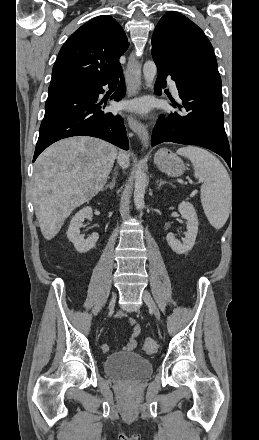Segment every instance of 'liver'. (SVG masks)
Listing matches in <instances>:
<instances>
[{
    "mask_svg": "<svg viewBox=\"0 0 259 440\" xmlns=\"http://www.w3.org/2000/svg\"><path fill=\"white\" fill-rule=\"evenodd\" d=\"M129 166V155L98 138L62 139L37 158L33 203L42 235L53 239L74 209L89 202L106 183L114 161Z\"/></svg>",
    "mask_w": 259,
    "mask_h": 440,
    "instance_id": "1",
    "label": "liver"
}]
</instances>
